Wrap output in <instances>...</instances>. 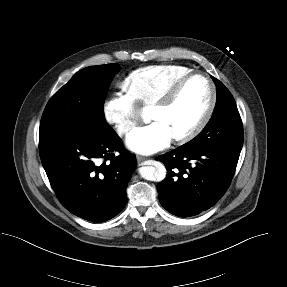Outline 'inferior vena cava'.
<instances>
[{
  "label": "inferior vena cava",
  "instance_id": "1",
  "mask_svg": "<svg viewBox=\"0 0 287 287\" xmlns=\"http://www.w3.org/2000/svg\"><path fill=\"white\" fill-rule=\"evenodd\" d=\"M129 129H130V128H129L128 126L122 127V128H119V129H118V132H119V133L127 132Z\"/></svg>",
  "mask_w": 287,
  "mask_h": 287
}]
</instances>
